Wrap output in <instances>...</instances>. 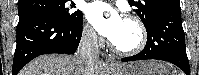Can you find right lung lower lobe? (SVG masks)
<instances>
[{
	"label": "right lung lower lobe",
	"instance_id": "right-lung-lower-lobe-1",
	"mask_svg": "<svg viewBox=\"0 0 199 75\" xmlns=\"http://www.w3.org/2000/svg\"><path fill=\"white\" fill-rule=\"evenodd\" d=\"M82 25L83 15L72 25L62 24L41 14L20 16L12 75H17L29 61L39 55L73 54L81 40Z\"/></svg>",
	"mask_w": 199,
	"mask_h": 75
}]
</instances>
